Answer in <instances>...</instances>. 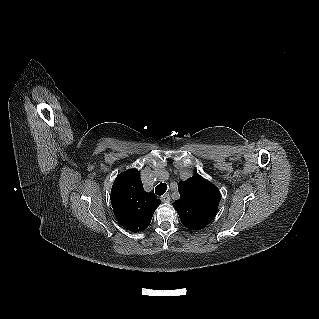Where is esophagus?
<instances>
[{
  "instance_id": "obj_1",
  "label": "esophagus",
  "mask_w": 319,
  "mask_h": 319,
  "mask_svg": "<svg viewBox=\"0 0 319 319\" xmlns=\"http://www.w3.org/2000/svg\"><path fill=\"white\" fill-rule=\"evenodd\" d=\"M160 199H161V201L164 202V203L169 202V201H170V195H169V193H166V194L162 195Z\"/></svg>"
}]
</instances>
